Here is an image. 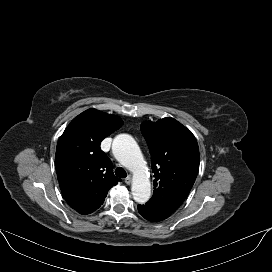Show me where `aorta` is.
Wrapping results in <instances>:
<instances>
[{
    "label": "aorta",
    "mask_w": 272,
    "mask_h": 272,
    "mask_svg": "<svg viewBox=\"0 0 272 272\" xmlns=\"http://www.w3.org/2000/svg\"><path fill=\"white\" fill-rule=\"evenodd\" d=\"M112 152L133 173L132 196L136 202L144 204L150 198L151 184L145 173L146 165L138 144L130 135L120 134L113 140Z\"/></svg>",
    "instance_id": "obj_1"
}]
</instances>
